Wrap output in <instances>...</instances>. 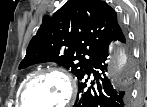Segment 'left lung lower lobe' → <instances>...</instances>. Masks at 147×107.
Masks as SVG:
<instances>
[{"label":"left lung lower lobe","instance_id":"left-lung-lower-lobe-1","mask_svg":"<svg viewBox=\"0 0 147 107\" xmlns=\"http://www.w3.org/2000/svg\"><path fill=\"white\" fill-rule=\"evenodd\" d=\"M116 40L125 43V36L119 24L114 26L107 42L78 78V96L73 107H128L131 73L118 86H114L104 74L107 69L109 46ZM93 67L101 70L102 73L93 70ZM91 74L94 80L88 83Z\"/></svg>","mask_w":147,"mask_h":107}]
</instances>
